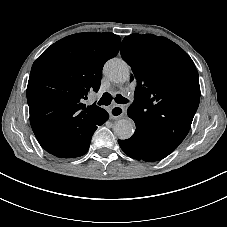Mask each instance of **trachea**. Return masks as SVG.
I'll use <instances>...</instances> for the list:
<instances>
[{
	"mask_svg": "<svg viewBox=\"0 0 227 227\" xmlns=\"http://www.w3.org/2000/svg\"><path fill=\"white\" fill-rule=\"evenodd\" d=\"M112 100H115V102L118 104L128 103V99H126L121 94H117L116 97H114L111 93L105 92L99 100L98 104L108 106L111 104Z\"/></svg>",
	"mask_w": 227,
	"mask_h": 227,
	"instance_id": "1",
	"label": "trachea"
}]
</instances>
